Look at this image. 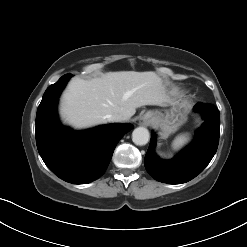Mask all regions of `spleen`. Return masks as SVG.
Instances as JSON below:
<instances>
[{
    "instance_id": "obj_1",
    "label": "spleen",
    "mask_w": 247,
    "mask_h": 247,
    "mask_svg": "<svg viewBox=\"0 0 247 247\" xmlns=\"http://www.w3.org/2000/svg\"><path fill=\"white\" fill-rule=\"evenodd\" d=\"M189 139L190 137L188 134L178 135L173 141L172 146L175 150H179L185 143L189 141Z\"/></svg>"
}]
</instances>
